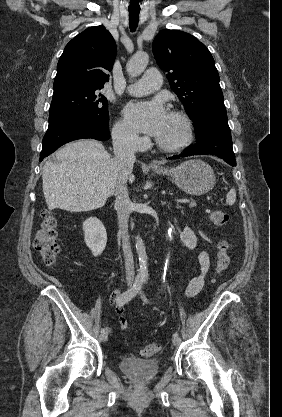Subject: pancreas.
Wrapping results in <instances>:
<instances>
[{"instance_id": "obj_1", "label": "pancreas", "mask_w": 282, "mask_h": 417, "mask_svg": "<svg viewBox=\"0 0 282 417\" xmlns=\"http://www.w3.org/2000/svg\"><path fill=\"white\" fill-rule=\"evenodd\" d=\"M189 206H190V209H191V206H196L195 200H191V202H189Z\"/></svg>"}]
</instances>
